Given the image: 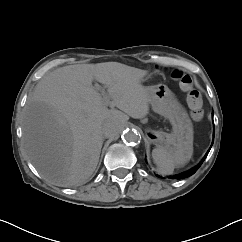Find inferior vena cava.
<instances>
[{"instance_id":"602c4592","label":"inferior vena cava","mask_w":242,"mask_h":242,"mask_svg":"<svg viewBox=\"0 0 242 242\" xmlns=\"http://www.w3.org/2000/svg\"><path fill=\"white\" fill-rule=\"evenodd\" d=\"M120 126H121L120 121L116 118H113L104 127L103 134L106 137L111 138L119 131Z\"/></svg>"}]
</instances>
